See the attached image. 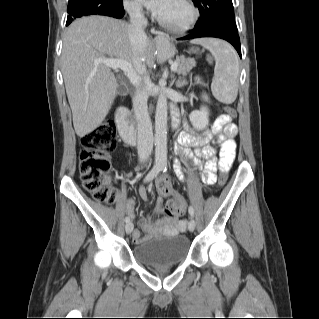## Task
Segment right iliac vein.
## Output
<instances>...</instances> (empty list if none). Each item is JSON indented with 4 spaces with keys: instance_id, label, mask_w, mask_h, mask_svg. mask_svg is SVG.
Returning a JSON list of instances; mask_svg holds the SVG:
<instances>
[{
    "instance_id": "right-iliac-vein-1",
    "label": "right iliac vein",
    "mask_w": 319,
    "mask_h": 319,
    "mask_svg": "<svg viewBox=\"0 0 319 319\" xmlns=\"http://www.w3.org/2000/svg\"><path fill=\"white\" fill-rule=\"evenodd\" d=\"M133 228H134V226H133L132 222L126 223L125 231H126L127 234H130L133 231Z\"/></svg>"
}]
</instances>
